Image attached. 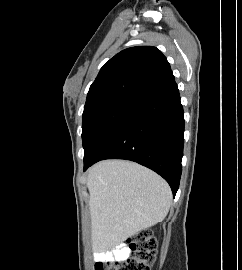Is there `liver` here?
Masks as SVG:
<instances>
[{"label": "liver", "mask_w": 242, "mask_h": 270, "mask_svg": "<svg viewBox=\"0 0 242 270\" xmlns=\"http://www.w3.org/2000/svg\"><path fill=\"white\" fill-rule=\"evenodd\" d=\"M92 242L105 249L166 217L172 202L167 182L133 162L106 160L88 172Z\"/></svg>", "instance_id": "6515ba94"}]
</instances>
